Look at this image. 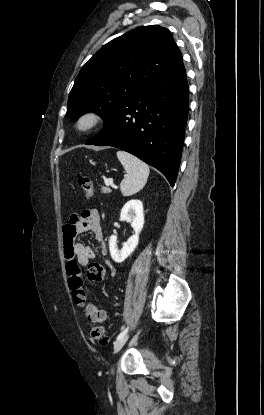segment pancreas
<instances>
[{"instance_id": "1", "label": "pancreas", "mask_w": 264, "mask_h": 415, "mask_svg": "<svg viewBox=\"0 0 264 415\" xmlns=\"http://www.w3.org/2000/svg\"><path fill=\"white\" fill-rule=\"evenodd\" d=\"M101 192H102V193H110V192H111V190H110V188H108V187L102 186V187H101Z\"/></svg>"}]
</instances>
